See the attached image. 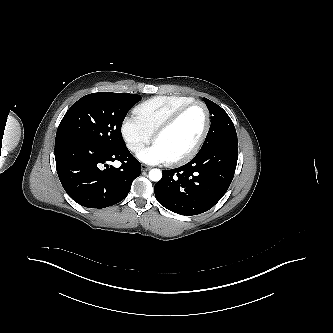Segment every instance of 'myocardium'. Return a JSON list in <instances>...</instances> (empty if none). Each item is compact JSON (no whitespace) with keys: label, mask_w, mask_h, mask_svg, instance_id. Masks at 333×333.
<instances>
[{"label":"myocardium","mask_w":333,"mask_h":333,"mask_svg":"<svg viewBox=\"0 0 333 333\" xmlns=\"http://www.w3.org/2000/svg\"><path fill=\"white\" fill-rule=\"evenodd\" d=\"M194 106H201L205 113V124L204 128L202 130V133L200 137L198 138L197 142L194 144V146L187 151L186 153L177 156L175 158L167 160L168 163L172 165H178L185 163L192 159L201 149L203 143L205 142L207 135L209 133L210 125H211V117H210V111L207 107V105L199 100H194L179 109H177L174 113H172L154 132L153 134V140L154 142L158 139L160 135H162L165 131L170 129L182 116L184 113H186L189 109H191Z\"/></svg>","instance_id":"f54148a6"}]
</instances>
